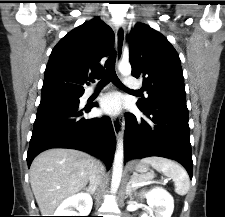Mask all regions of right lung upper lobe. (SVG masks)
Segmentation results:
<instances>
[{
    "label": "right lung upper lobe",
    "mask_w": 225,
    "mask_h": 217,
    "mask_svg": "<svg viewBox=\"0 0 225 217\" xmlns=\"http://www.w3.org/2000/svg\"><path fill=\"white\" fill-rule=\"evenodd\" d=\"M114 43L112 29L98 17L76 27L53 48L45 69L42 95L84 93L87 80L104 73L100 60Z\"/></svg>",
    "instance_id": "cb5924a9"
}]
</instances>
